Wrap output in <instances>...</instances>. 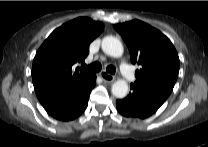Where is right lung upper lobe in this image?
<instances>
[{"mask_svg": "<svg viewBox=\"0 0 208 147\" xmlns=\"http://www.w3.org/2000/svg\"><path fill=\"white\" fill-rule=\"evenodd\" d=\"M101 22L79 17L54 30L37 51L32 68L36 95L42 105L64 98L94 74L74 69L89 53V44L103 31Z\"/></svg>", "mask_w": 208, "mask_h": 147, "instance_id": "cb5924a9", "label": "right lung upper lobe"}]
</instances>
